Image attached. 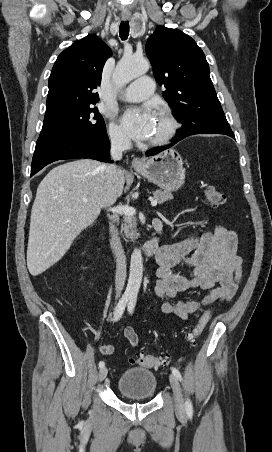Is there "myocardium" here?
<instances>
[{
	"instance_id": "myocardium-1",
	"label": "myocardium",
	"mask_w": 272,
	"mask_h": 452,
	"mask_svg": "<svg viewBox=\"0 0 272 452\" xmlns=\"http://www.w3.org/2000/svg\"><path fill=\"white\" fill-rule=\"evenodd\" d=\"M160 115H162L165 119L167 127L161 136L148 141V145L150 146H160L168 143L175 136L178 130V122L170 111L162 110Z\"/></svg>"
}]
</instances>
